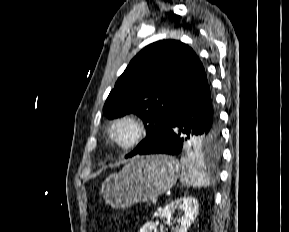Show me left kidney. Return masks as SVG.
I'll use <instances>...</instances> for the list:
<instances>
[{"instance_id":"5707ae66","label":"left kidney","mask_w":289,"mask_h":232,"mask_svg":"<svg viewBox=\"0 0 289 232\" xmlns=\"http://www.w3.org/2000/svg\"><path fill=\"white\" fill-rule=\"evenodd\" d=\"M198 207L197 199L193 197H183L166 205L159 211L158 216L160 218H170L175 211H178L182 215L177 220L178 226L174 229V232H187L198 215ZM155 229L156 224L154 222H147L143 225L140 232H152L155 231Z\"/></svg>"}]
</instances>
